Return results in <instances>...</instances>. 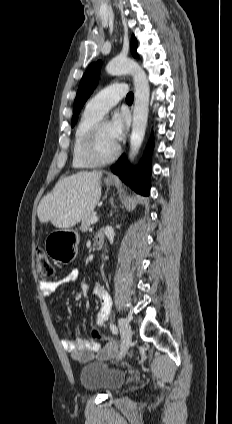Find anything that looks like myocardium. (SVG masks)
Wrapping results in <instances>:
<instances>
[{"mask_svg": "<svg viewBox=\"0 0 232 424\" xmlns=\"http://www.w3.org/2000/svg\"><path fill=\"white\" fill-rule=\"evenodd\" d=\"M107 121L105 119H99L93 124L87 133L81 148V154L83 159L90 164L91 166H102L113 162L120 153V146L117 144L114 152L108 157H100L97 153V141L100 129L104 123Z\"/></svg>", "mask_w": 232, "mask_h": 424, "instance_id": "myocardium-1", "label": "myocardium"}]
</instances>
